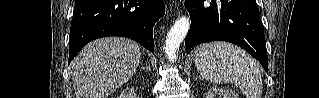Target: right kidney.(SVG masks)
<instances>
[{"label": "right kidney", "mask_w": 319, "mask_h": 98, "mask_svg": "<svg viewBox=\"0 0 319 98\" xmlns=\"http://www.w3.org/2000/svg\"><path fill=\"white\" fill-rule=\"evenodd\" d=\"M129 93H130V95H132L134 98H137V96H136V94H135V91L134 90H130L129 91ZM123 97V95L122 96H120V98H122Z\"/></svg>", "instance_id": "ca27d5eb"}]
</instances>
